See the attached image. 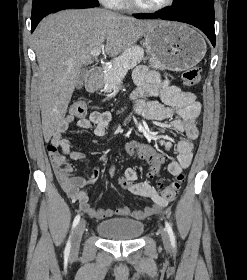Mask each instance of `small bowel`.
<instances>
[{
    "instance_id": "c3829d8e",
    "label": "small bowel",
    "mask_w": 247,
    "mask_h": 280,
    "mask_svg": "<svg viewBox=\"0 0 247 280\" xmlns=\"http://www.w3.org/2000/svg\"><path fill=\"white\" fill-rule=\"evenodd\" d=\"M134 81L137 88L132 93L135 111L148 120H166L171 119L175 114L177 119L171 120L170 128L178 133H183L185 137L177 144L178 157L176 161L168 164V171L171 175L177 176L188 168L191 164L194 153V141L198 137V116L200 114V103L196 96L187 91H183L176 85L163 80L155 71H149L144 66H139L134 71ZM149 95L159 100L146 101L141 97ZM113 119V114L109 111L92 112L88 118H82L77 122L81 129H93L97 137H103L106 134L107 127ZM73 121L72 115H67L58 124L50 137L51 146L60 149L72 161H80L86 158V154L81 151L71 150L70 143L63 137V133L68 129ZM160 144L165 148H170L171 143L167 140H160ZM109 175H114V168L109 167ZM100 174L99 168H94L90 177L69 176L67 178L58 177L59 183L68 197L78 203L80 209L91 218L97 220L108 219L113 216H131L137 220L144 219L157 213L168 203L148 182H136L137 172L128 168L123 176L131 179L133 185L131 188H125L132 194L148 198L153 204L143 209L131 210L128 207H119L116 209H96L89 200V194L85 186L94 183ZM131 174V176H129Z\"/></svg>"
}]
</instances>
